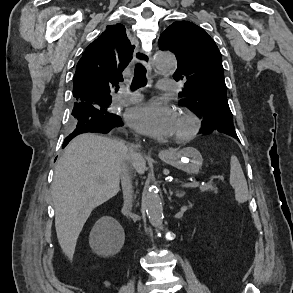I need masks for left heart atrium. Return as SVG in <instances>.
Masks as SVG:
<instances>
[{
    "instance_id": "1",
    "label": "left heart atrium",
    "mask_w": 293,
    "mask_h": 293,
    "mask_svg": "<svg viewBox=\"0 0 293 293\" xmlns=\"http://www.w3.org/2000/svg\"><path fill=\"white\" fill-rule=\"evenodd\" d=\"M127 123L136 131L155 138L174 133L176 116L172 109L157 102H148L129 109Z\"/></svg>"
}]
</instances>
